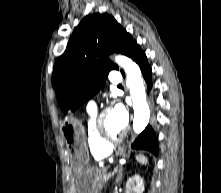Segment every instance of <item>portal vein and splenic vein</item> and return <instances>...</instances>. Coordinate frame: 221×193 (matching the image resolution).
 Instances as JSON below:
<instances>
[{
    "label": "portal vein and splenic vein",
    "instance_id": "portal-vein-and-splenic-vein-1",
    "mask_svg": "<svg viewBox=\"0 0 221 193\" xmlns=\"http://www.w3.org/2000/svg\"><path fill=\"white\" fill-rule=\"evenodd\" d=\"M115 172H116V169H115V171L112 172V173L105 174V175L103 176L104 182H107V181L114 175Z\"/></svg>",
    "mask_w": 221,
    "mask_h": 193
}]
</instances>
